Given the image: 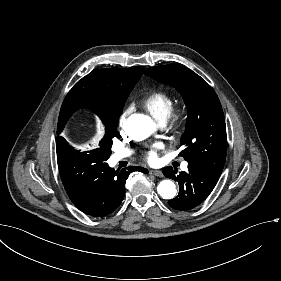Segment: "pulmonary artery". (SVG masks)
Here are the masks:
<instances>
[{"label": "pulmonary artery", "instance_id": "1", "mask_svg": "<svg viewBox=\"0 0 281 281\" xmlns=\"http://www.w3.org/2000/svg\"><path fill=\"white\" fill-rule=\"evenodd\" d=\"M131 152L125 149H116L111 156V162L116 163L118 161L124 160L125 158L129 157ZM188 164L185 162L182 164V169L186 170Z\"/></svg>", "mask_w": 281, "mask_h": 281}]
</instances>
